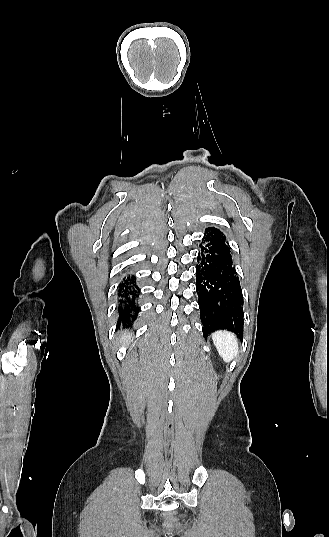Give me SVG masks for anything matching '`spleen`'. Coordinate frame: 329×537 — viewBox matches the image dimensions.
Returning a JSON list of instances; mask_svg holds the SVG:
<instances>
[{"mask_svg":"<svg viewBox=\"0 0 329 537\" xmlns=\"http://www.w3.org/2000/svg\"><path fill=\"white\" fill-rule=\"evenodd\" d=\"M213 343L225 362L229 363L238 354V340L228 331H217L212 335Z\"/></svg>","mask_w":329,"mask_h":537,"instance_id":"3e777b00","label":"spleen"}]
</instances>
